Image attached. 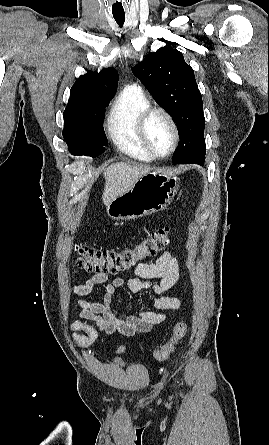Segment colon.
<instances>
[{
    "label": "colon",
    "mask_w": 269,
    "mask_h": 445,
    "mask_svg": "<svg viewBox=\"0 0 269 445\" xmlns=\"http://www.w3.org/2000/svg\"><path fill=\"white\" fill-rule=\"evenodd\" d=\"M171 241V226H164L141 241L133 248L123 250H103L87 245L75 246L76 263L80 268L105 274H117L134 268L140 260L155 256ZM188 330L185 322H178L173 330L171 340L153 351L158 360L167 359L184 338Z\"/></svg>",
    "instance_id": "colon-1"
}]
</instances>
